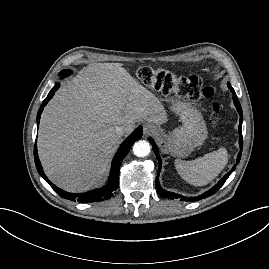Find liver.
<instances>
[{
	"label": "liver",
	"instance_id": "liver-1",
	"mask_svg": "<svg viewBox=\"0 0 269 269\" xmlns=\"http://www.w3.org/2000/svg\"><path fill=\"white\" fill-rule=\"evenodd\" d=\"M167 121L163 105L121 63L89 64L61 87L45 107L38 130V153L49 179L67 191L99 182L120 143L136 122Z\"/></svg>",
	"mask_w": 269,
	"mask_h": 269
}]
</instances>
